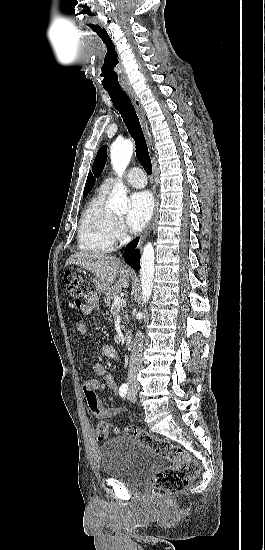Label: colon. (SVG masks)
I'll return each instance as SVG.
<instances>
[{"label": "colon", "instance_id": "colon-1", "mask_svg": "<svg viewBox=\"0 0 265 550\" xmlns=\"http://www.w3.org/2000/svg\"><path fill=\"white\" fill-rule=\"evenodd\" d=\"M64 282L69 295L75 299L71 304L72 309L80 312L83 305L81 299L90 293L87 280L79 274L66 272ZM112 430L119 432V429L113 428L106 420H101L96 425V434L100 440L106 439ZM123 433L136 437L171 464L156 474L151 486L153 497L163 498L172 495L187 487L190 481L198 476V462L182 448L136 426L125 427Z\"/></svg>", "mask_w": 265, "mask_h": 550}]
</instances>
